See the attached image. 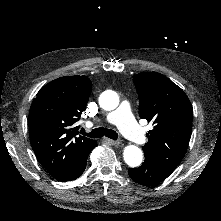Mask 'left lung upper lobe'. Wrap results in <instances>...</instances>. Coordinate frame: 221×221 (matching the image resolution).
I'll return each instance as SVG.
<instances>
[{
	"label": "left lung upper lobe",
	"mask_w": 221,
	"mask_h": 221,
	"mask_svg": "<svg viewBox=\"0 0 221 221\" xmlns=\"http://www.w3.org/2000/svg\"><path fill=\"white\" fill-rule=\"evenodd\" d=\"M139 116L152 121L144 154L169 172L182 160L192 132L193 108L184 91L164 75L142 72L134 76Z\"/></svg>",
	"instance_id": "obj_1"
}]
</instances>
